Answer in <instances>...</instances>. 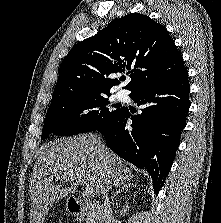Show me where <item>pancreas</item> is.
I'll return each mask as SVG.
<instances>
[{
	"label": "pancreas",
	"mask_w": 221,
	"mask_h": 223,
	"mask_svg": "<svg viewBox=\"0 0 221 223\" xmlns=\"http://www.w3.org/2000/svg\"><path fill=\"white\" fill-rule=\"evenodd\" d=\"M86 223H96V219L93 215H89L86 219H85Z\"/></svg>",
	"instance_id": "obj_1"
}]
</instances>
